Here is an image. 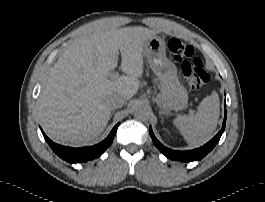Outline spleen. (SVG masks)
I'll use <instances>...</instances> for the list:
<instances>
[{
	"mask_svg": "<svg viewBox=\"0 0 265 202\" xmlns=\"http://www.w3.org/2000/svg\"><path fill=\"white\" fill-rule=\"evenodd\" d=\"M219 113V97L213 92L201 101L196 112L177 116L173 124L188 144L201 145L212 137Z\"/></svg>",
	"mask_w": 265,
	"mask_h": 202,
	"instance_id": "spleen-1",
	"label": "spleen"
}]
</instances>
